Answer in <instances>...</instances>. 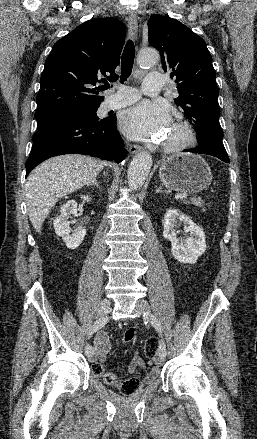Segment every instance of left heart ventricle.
<instances>
[{"label": "left heart ventricle", "mask_w": 257, "mask_h": 439, "mask_svg": "<svg viewBox=\"0 0 257 439\" xmlns=\"http://www.w3.org/2000/svg\"><path fill=\"white\" fill-rule=\"evenodd\" d=\"M182 136H183L182 132L179 129L171 126L169 128V130L167 131L164 142L165 143H174V142L181 140Z\"/></svg>", "instance_id": "obj_1"}]
</instances>
